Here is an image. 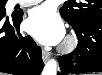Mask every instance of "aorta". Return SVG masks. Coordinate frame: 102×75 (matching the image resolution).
Returning a JSON list of instances; mask_svg holds the SVG:
<instances>
[{"instance_id":"aorta-1","label":"aorta","mask_w":102,"mask_h":75,"mask_svg":"<svg viewBox=\"0 0 102 75\" xmlns=\"http://www.w3.org/2000/svg\"><path fill=\"white\" fill-rule=\"evenodd\" d=\"M42 75H57V62L54 59H50L42 71Z\"/></svg>"}]
</instances>
